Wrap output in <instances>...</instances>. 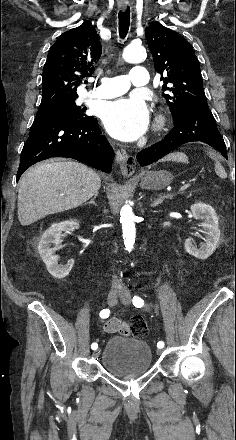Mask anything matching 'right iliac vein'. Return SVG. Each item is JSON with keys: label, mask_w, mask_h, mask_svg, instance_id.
Segmentation results:
<instances>
[{"label": "right iliac vein", "mask_w": 236, "mask_h": 440, "mask_svg": "<svg viewBox=\"0 0 236 440\" xmlns=\"http://www.w3.org/2000/svg\"><path fill=\"white\" fill-rule=\"evenodd\" d=\"M118 297H119V294L117 292H114V291L110 292L107 297L108 305L111 307L115 306L118 302ZM99 353H100V350L98 349L93 353V356L97 357L99 355Z\"/></svg>", "instance_id": "63e3f726"}]
</instances>
